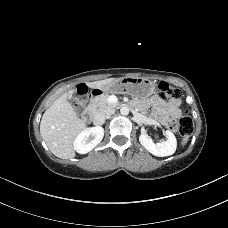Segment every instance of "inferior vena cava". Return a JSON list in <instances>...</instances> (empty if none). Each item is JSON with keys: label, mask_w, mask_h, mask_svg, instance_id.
Here are the masks:
<instances>
[{"label": "inferior vena cava", "mask_w": 228, "mask_h": 228, "mask_svg": "<svg viewBox=\"0 0 228 228\" xmlns=\"http://www.w3.org/2000/svg\"><path fill=\"white\" fill-rule=\"evenodd\" d=\"M114 112H115L114 109H110V110L97 113L93 118V123L96 125L103 124L105 122V119L111 114H113Z\"/></svg>", "instance_id": "inferior-vena-cava-1"}]
</instances>
